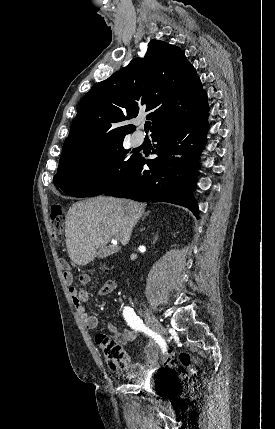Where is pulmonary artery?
I'll return each instance as SVG.
<instances>
[{
	"label": "pulmonary artery",
	"mask_w": 275,
	"mask_h": 429,
	"mask_svg": "<svg viewBox=\"0 0 275 429\" xmlns=\"http://www.w3.org/2000/svg\"><path fill=\"white\" fill-rule=\"evenodd\" d=\"M132 141H133V144H134L135 146H139V145H141V144L143 143V141H144V135H143V134H141V133H135V134L133 135V137H132Z\"/></svg>",
	"instance_id": "e3ab8cb5"
}]
</instances>
